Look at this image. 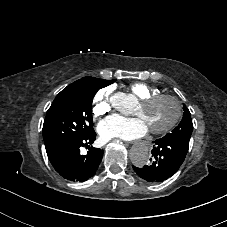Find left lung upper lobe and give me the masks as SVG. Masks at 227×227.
Here are the masks:
<instances>
[{"label": "left lung upper lobe", "mask_w": 227, "mask_h": 227, "mask_svg": "<svg viewBox=\"0 0 227 227\" xmlns=\"http://www.w3.org/2000/svg\"><path fill=\"white\" fill-rule=\"evenodd\" d=\"M183 110V119L181 120L179 125L172 130L171 133L166 134V137L178 138L186 141L190 140L193 130L191 114L185 105L183 106Z\"/></svg>", "instance_id": "obj_1"}]
</instances>
